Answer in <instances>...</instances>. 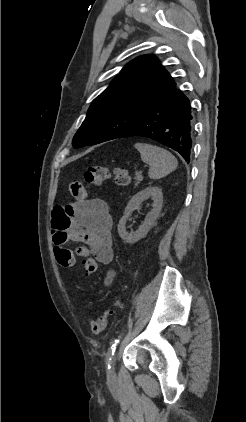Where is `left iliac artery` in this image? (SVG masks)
Returning <instances> with one entry per match:
<instances>
[{
  "label": "left iliac artery",
  "instance_id": "1",
  "mask_svg": "<svg viewBox=\"0 0 246 422\" xmlns=\"http://www.w3.org/2000/svg\"><path fill=\"white\" fill-rule=\"evenodd\" d=\"M119 338H120V336H119ZM118 343H119V339H116L107 352L106 362L108 363V368H109V362L111 361L112 356L114 355V352L116 350Z\"/></svg>",
  "mask_w": 246,
  "mask_h": 422
}]
</instances>
